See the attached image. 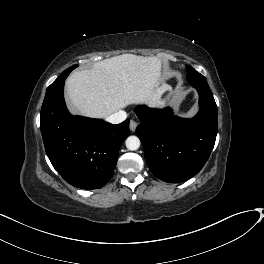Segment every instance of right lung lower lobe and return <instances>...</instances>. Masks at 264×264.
I'll use <instances>...</instances> for the list:
<instances>
[{"label": "right lung lower lobe", "mask_w": 264, "mask_h": 264, "mask_svg": "<svg viewBox=\"0 0 264 264\" xmlns=\"http://www.w3.org/2000/svg\"><path fill=\"white\" fill-rule=\"evenodd\" d=\"M64 81L47 90L41 108L45 150L66 182L82 189H98L113 176L119 148L130 134L129 120L113 125L73 117L65 106Z\"/></svg>", "instance_id": "98d812e1"}]
</instances>
